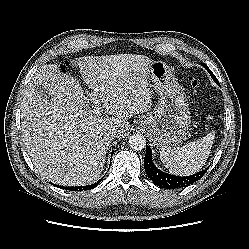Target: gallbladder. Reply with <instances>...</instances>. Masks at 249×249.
<instances>
[{"label": "gallbladder", "mask_w": 249, "mask_h": 249, "mask_svg": "<svg viewBox=\"0 0 249 249\" xmlns=\"http://www.w3.org/2000/svg\"><path fill=\"white\" fill-rule=\"evenodd\" d=\"M35 91L40 98L48 99V95L42 87H40V86L35 87Z\"/></svg>", "instance_id": "gallbladder-1"}]
</instances>
